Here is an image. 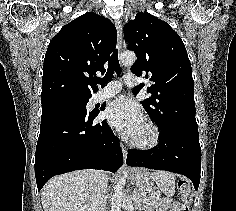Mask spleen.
Here are the masks:
<instances>
[{"label":"spleen","instance_id":"3e777b00","mask_svg":"<svg viewBox=\"0 0 236 211\" xmlns=\"http://www.w3.org/2000/svg\"><path fill=\"white\" fill-rule=\"evenodd\" d=\"M152 180H154L159 189L168 197H171L175 193L176 183L174 175L166 171H156L150 174Z\"/></svg>","mask_w":236,"mask_h":211}]
</instances>
